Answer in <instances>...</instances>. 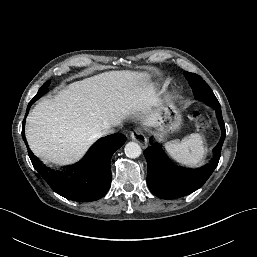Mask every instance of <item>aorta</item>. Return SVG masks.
Segmentation results:
<instances>
[{"mask_svg":"<svg viewBox=\"0 0 257 257\" xmlns=\"http://www.w3.org/2000/svg\"><path fill=\"white\" fill-rule=\"evenodd\" d=\"M125 155L129 158H138L141 153V147L138 143L136 142H129L125 145Z\"/></svg>","mask_w":257,"mask_h":257,"instance_id":"aorta-1","label":"aorta"}]
</instances>
